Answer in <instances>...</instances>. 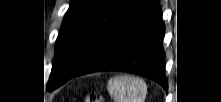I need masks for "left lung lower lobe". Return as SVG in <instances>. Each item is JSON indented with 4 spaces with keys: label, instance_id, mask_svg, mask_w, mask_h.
<instances>
[{
    "label": "left lung lower lobe",
    "instance_id": "0a47b994",
    "mask_svg": "<svg viewBox=\"0 0 221 102\" xmlns=\"http://www.w3.org/2000/svg\"><path fill=\"white\" fill-rule=\"evenodd\" d=\"M164 35L158 1L137 0L72 77L98 71H127L152 79L167 90Z\"/></svg>",
    "mask_w": 221,
    "mask_h": 102
}]
</instances>
